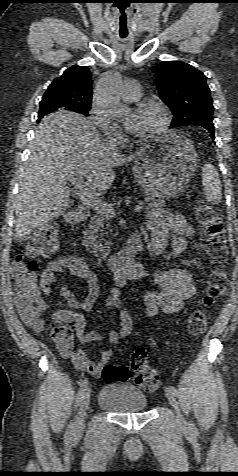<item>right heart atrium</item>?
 <instances>
[{
	"mask_svg": "<svg viewBox=\"0 0 238 476\" xmlns=\"http://www.w3.org/2000/svg\"><path fill=\"white\" fill-rule=\"evenodd\" d=\"M90 119L93 124L108 138L120 139L123 136L121 129L112 123L107 116L96 106H92L90 111Z\"/></svg>",
	"mask_w": 238,
	"mask_h": 476,
	"instance_id": "1",
	"label": "right heart atrium"
}]
</instances>
